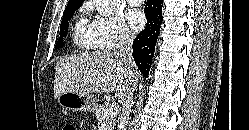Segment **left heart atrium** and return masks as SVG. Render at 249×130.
<instances>
[{
	"label": "left heart atrium",
	"instance_id": "1",
	"mask_svg": "<svg viewBox=\"0 0 249 130\" xmlns=\"http://www.w3.org/2000/svg\"><path fill=\"white\" fill-rule=\"evenodd\" d=\"M128 20L134 30H140L145 24V16L141 11L132 10L128 13Z\"/></svg>",
	"mask_w": 249,
	"mask_h": 130
}]
</instances>
